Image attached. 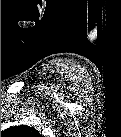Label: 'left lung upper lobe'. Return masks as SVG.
Segmentation results:
<instances>
[{"mask_svg":"<svg viewBox=\"0 0 121 137\" xmlns=\"http://www.w3.org/2000/svg\"><path fill=\"white\" fill-rule=\"evenodd\" d=\"M6 135H10V136H32V137H36L39 136V132L37 130H35L33 127H28L25 125H21V126H15V127H11L7 130H5L3 132Z\"/></svg>","mask_w":121,"mask_h":137,"instance_id":"left-lung-upper-lobe-1","label":"left lung upper lobe"}]
</instances>
